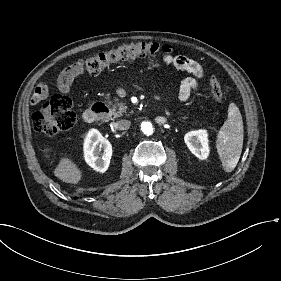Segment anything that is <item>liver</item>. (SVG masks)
<instances>
[{"mask_svg":"<svg viewBox=\"0 0 281 281\" xmlns=\"http://www.w3.org/2000/svg\"><path fill=\"white\" fill-rule=\"evenodd\" d=\"M54 174L63 182L77 184L82 177L81 171L69 159H61L59 165L56 167Z\"/></svg>","mask_w":281,"mask_h":281,"instance_id":"1","label":"liver"}]
</instances>
